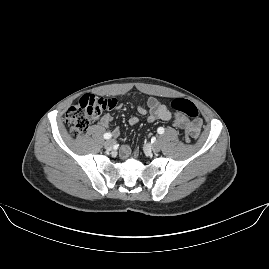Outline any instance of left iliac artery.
Instances as JSON below:
<instances>
[{"mask_svg":"<svg viewBox=\"0 0 269 269\" xmlns=\"http://www.w3.org/2000/svg\"><path fill=\"white\" fill-rule=\"evenodd\" d=\"M157 132H158L159 134H163V133H164V128H163V127H159V128L157 129Z\"/></svg>","mask_w":269,"mask_h":269,"instance_id":"1","label":"left iliac artery"}]
</instances>
